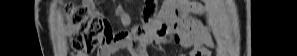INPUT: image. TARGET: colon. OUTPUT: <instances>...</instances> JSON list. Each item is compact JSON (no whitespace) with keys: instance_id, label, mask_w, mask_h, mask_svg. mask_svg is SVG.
<instances>
[{"instance_id":"colon-1","label":"colon","mask_w":297,"mask_h":56,"mask_svg":"<svg viewBox=\"0 0 297 56\" xmlns=\"http://www.w3.org/2000/svg\"><path fill=\"white\" fill-rule=\"evenodd\" d=\"M64 13L71 25L69 39L74 51L93 53L112 37L107 21L88 13L84 7L69 4Z\"/></svg>"}]
</instances>
